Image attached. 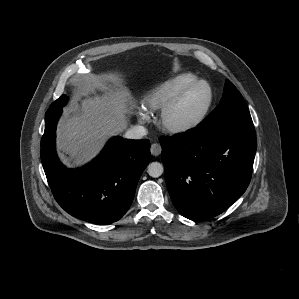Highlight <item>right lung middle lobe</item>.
<instances>
[{"label":"right lung middle lobe","instance_id":"1","mask_svg":"<svg viewBox=\"0 0 299 299\" xmlns=\"http://www.w3.org/2000/svg\"><path fill=\"white\" fill-rule=\"evenodd\" d=\"M68 101V98L66 95L60 96L55 102H53L49 108H57V107H64Z\"/></svg>","mask_w":299,"mask_h":299}]
</instances>
